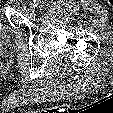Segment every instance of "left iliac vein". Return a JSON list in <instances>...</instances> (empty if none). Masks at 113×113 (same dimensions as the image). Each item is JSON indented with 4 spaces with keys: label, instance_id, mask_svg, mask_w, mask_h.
<instances>
[{
    "label": "left iliac vein",
    "instance_id": "4c4485c4",
    "mask_svg": "<svg viewBox=\"0 0 113 113\" xmlns=\"http://www.w3.org/2000/svg\"><path fill=\"white\" fill-rule=\"evenodd\" d=\"M29 6L32 10H34L36 7H37V4H36V1L34 0H31L30 3H29Z\"/></svg>",
    "mask_w": 113,
    "mask_h": 113
}]
</instances>
